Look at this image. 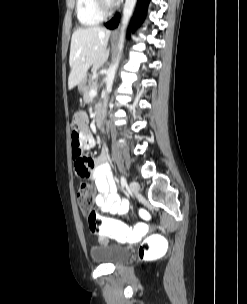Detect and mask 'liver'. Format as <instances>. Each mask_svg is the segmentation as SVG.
Instances as JSON below:
<instances>
[{
	"instance_id": "6515ba94",
	"label": "liver",
	"mask_w": 247,
	"mask_h": 304,
	"mask_svg": "<svg viewBox=\"0 0 247 304\" xmlns=\"http://www.w3.org/2000/svg\"><path fill=\"white\" fill-rule=\"evenodd\" d=\"M110 33L109 30L98 26L78 28L74 31L69 57V89L82 83L90 68L95 73L106 62L109 55L107 45Z\"/></svg>"
}]
</instances>
